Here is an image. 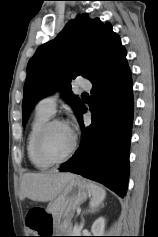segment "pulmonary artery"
I'll list each match as a JSON object with an SVG mask.
<instances>
[{
    "mask_svg": "<svg viewBox=\"0 0 158 237\" xmlns=\"http://www.w3.org/2000/svg\"><path fill=\"white\" fill-rule=\"evenodd\" d=\"M76 87L83 89H90L91 83L84 78H79L76 81ZM58 99V93H54L43 97L37 104V108L49 114H53L56 110V104Z\"/></svg>",
    "mask_w": 158,
    "mask_h": 237,
    "instance_id": "e3ab8cb5",
    "label": "pulmonary artery"
}]
</instances>
